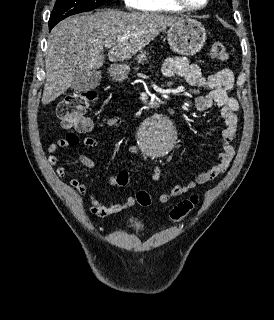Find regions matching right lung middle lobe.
Masks as SVG:
<instances>
[{
  "mask_svg": "<svg viewBox=\"0 0 274 320\" xmlns=\"http://www.w3.org/2000/svg\"><path fill=\"white\" fill-rule=\"evenodd\" d=\"M110 1L112 0H57L49 24H57L70 15L91 11Z\"/></svg>",
  "mask_w": 274,
  "mask_h": 320,
  "instance_id": "1",
  "label": "right lung middle lobe"
}]
</instances>
